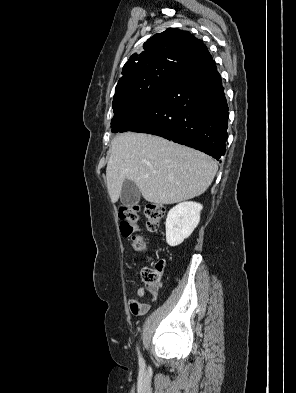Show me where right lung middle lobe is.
<instances>
[{"mask_svg": "<svg viewBox=\"0 0 296 393\" xmlns=\"http://www.w3.org/2000/svg\"><path fill=\"white\" fill-rule=\"evenodd\" d=\"M171 81L172 77L154 78L146 83L143 90L137 96L130 100L113 103L112 107L115 115L111 120L112 132H120L127 123L145 111L156 99L161 89Z\"/></svg>", "mask_w": 296, "mask_h": 393, "instance_id": "1", "label": "right lung middle lobe"}]
</instances>
